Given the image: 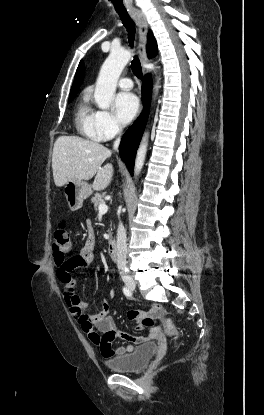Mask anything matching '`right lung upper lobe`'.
Returning <instances> with one entry per match:
<instances>
[{"label":"right lung upper lobe","instance_id":"right-lung-upper-lobe-1","mask_svg":"<svg viewBox=\"0 0 264 415\" xmlns=\"http://www.w3.org/2000/svg\"><path fill=\"white\" fill-rule=\"evenodd\" d=\"M147 38H148V43H147V46H146L147 55H148V58H152V57L156 56L157 53H158L157 43H156V40H155L152 32L148 33ZM83 75H84V65H83V62H80L79 66L77 68L76 74H75V80H74L73 85H72L71 90H70V96H75V94L77 93L78 88L82 83Z\"/></svg>","mask_w":264,"mask_h":415}]
</instances>
